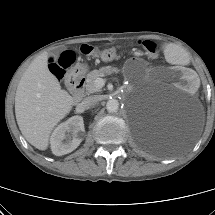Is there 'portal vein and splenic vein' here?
Wrapping results in <instances>:
<instances>
[{"label": "portal vein and splenic vein", "instance_id": "18ae733b", "mask_svg": "<svg viewBox=\"0 0 215 215\" xmlns=\"http://www.w3.org/2000/svg\"><path fill=\"white\" fill-rule=\"evenodd\" d=\"M105 79L103 78H97L95 80V84L99 87V88H102L104 85H105Z\"/></svg>", "mask_w": 215, "mask_h": 215}]
</instances>
